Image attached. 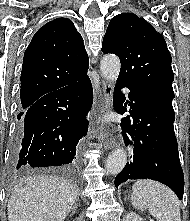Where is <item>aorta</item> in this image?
I'll return each mask as SVG.
<instances>
[{
  "instance_id": "762f6f07",
  "label": "aorta",
  "mask_w": 190,
  "mask_h": 221,
  "mask_svg": "<svg viewBox=\"0 0 190 221\" xmlns=\"http://www.w3.org/2000/svg\"><path fill=\"white\" fill-rule=\"evenodd\" d=\"M120 60L116 55H105L100 62V70L104 78L116 81L120 72ZM127 154L123 149L113 151L107 161L106 169L110 174L116 175L124 168Z\"/></svg>"
}]
</instances>
